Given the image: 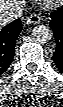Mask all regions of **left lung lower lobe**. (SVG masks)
<instances>
[{"mask_svg":"<svg viewBox=\"0 0 63 107\" xmlns=\"http://www.w3.org/2000/svg\"><path fill=\"white\" fill-rule=\"evenodd\" d=\"M50 27L56 40L53 59L56 67L63 72V7L51 13Z\"/></svg>","mask_w":63,"mask_h":107,"instance_id":"1","label":"left lung lower lobe"}]
</instances>
